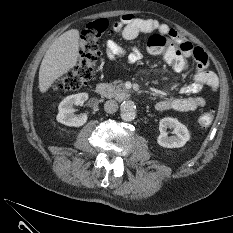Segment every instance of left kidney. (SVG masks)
Masks as SVG:
<instances>
[{
  "mask_svg": "<svg viewBox=\"0 0 233 233\" xmlns=\"http://www.w3.org/2000/svg\"><path fill=\"white\" fill-rule=\"evenodd\" d=\"M167 128L173 129V136H168ZM159 131L160 135L157 138V142L160 146L165 148L183 147L190 139L189 130L176 118L166 117L161 119Z\"/></svg>",
  "mask_w": 233,
  "mask_h": 233,
  "instance_id": "1",
  "label": "left kidney"
}]
</instances>
